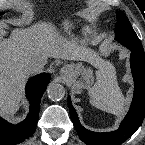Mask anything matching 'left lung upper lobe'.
<instances>
[{
  "mask_svg": "<svg viewBox=\"0 0 145 145\" xmlns=\"http://www.w3.org/2000/svg\"><path fill=\"white\" fill-rule=\"evenodd\" d=\"M116 39L125 46L141 48L142 44L122 11L117 12Z\"/></svg>",
  "mask_w": 145,
  "mask_h": 145,
  "instance_id": "obj_1",
  "label": "left lung upper lobe"
}]
</instances>
